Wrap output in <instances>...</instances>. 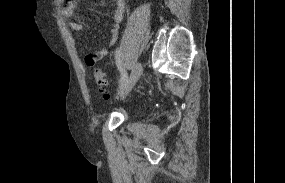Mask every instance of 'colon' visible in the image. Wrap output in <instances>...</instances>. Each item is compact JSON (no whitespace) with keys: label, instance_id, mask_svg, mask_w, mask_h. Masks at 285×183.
<instances>
[{"label":"colon","instance_id":"obj_1","mask_svg":"<svg viewBox=\"0 0 285 183\" xmlns=\"http://www.w3.org/2000/svg\"><path fill=\"white\" fill-rule=\"evenodd\" d=\"M93 78L97 90L104 96L105 99H109L110 94L108 93V81L105 74L101 70L96 69L94 71Z\"/></svg>","mask_w":285,"mask_h":183}]
</instances>
